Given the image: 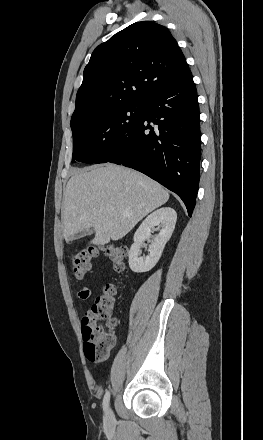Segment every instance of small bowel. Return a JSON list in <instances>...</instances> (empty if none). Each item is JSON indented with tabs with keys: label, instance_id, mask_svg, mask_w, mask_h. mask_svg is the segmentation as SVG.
Here are the masks:
<instances>
[{
	"label": "small bowel",
	"instance_id": "obj_1",
	"mask_svg": "<svg viewBox=\"0 0 263 440\" xmlns=\"http://www.w3.org/2000/svg\"><path fill=\"white\" fill-rule=\"evenodd\" d=\"M90 295H91V290H90V288H88V287H86V286L81 287V288L77 291V294H76L77 299L80 300V301H85V300H87V299L90 297Z\"/></svg>",
	"mask_w": 263,
	"mask_h": 440
}]
</instances>
